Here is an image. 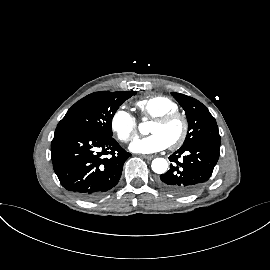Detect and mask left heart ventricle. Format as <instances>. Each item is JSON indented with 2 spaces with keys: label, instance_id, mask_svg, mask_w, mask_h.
Returning a JSON list of instances; mask_svg holds the SVG:
<instances>
[{
  "label": "left heart ventricle",
  "instance_id": "left-heart-ventricle-1",
  "mask_svg": "<svg viewBox=\"0 0 270 270\" xmlns=\"http://www.w3.org/2000/svg\"><path fill=\"white\" fill-rule=\"evenodd\" d=\"M182 131V123L180 120H173L166 124L153 122L150 126L152 134L161 135L169 144L174 142Z\"/></svg>",
  "mask_w": 270,
  "mask_h": 270
}]
</instances>
